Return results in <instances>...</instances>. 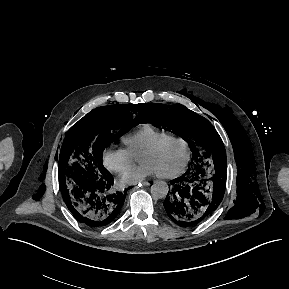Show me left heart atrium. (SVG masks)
Wrapping results in <instances>:
<instances>
[{
    "instance_id": "1",
    "label": "left heart atrium",
    "mask_w": 289,
    "mask_h": 289,
    "mask_svg": "<svg viewBox=\"0 0 289 289\" xmlns=\"http://www.w3.org/2000/svg\"><path fill=\"white\" fill-rule=\"evenodd\" d=\"M154 174H157L154 167L148 163H141L122 174L119 183L122 186L137 184Z\"/></svg>"
}]
</instances>
